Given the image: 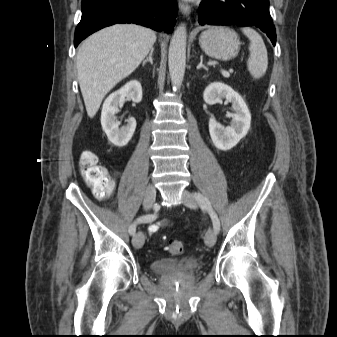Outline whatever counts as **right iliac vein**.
I'll return each mask as SVG.
<instances>
[{
    "label": "right iliac vein",
    "mask_w": 337,
    "mask_h": 337,
    "mask_svg": "<svg viewBox=\"0 0 337 337\" xmlns=\"http://www.w3.org/2000/svg\"><path fill=\"white\" fill-rule=\"evenodd\" d=\"M156 199V190L153 185H148L144 195L143 206L145 210L153 207ZM144 234L142 232L136 233L132 238V244L135 248H141L144 245Z\"/></svg>",
    "instance_id": "1"
}]
</instances>
